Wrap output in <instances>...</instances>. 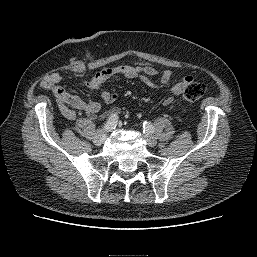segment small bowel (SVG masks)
Here are the masks:
<instances>
[{"mask_svg": "<svg viewBox=\"0 0 257 257\" xmlns=\"http://www.w3.org/2000/svg\"><path fill=\"white\" fill-rule=\"evenodd\" d=\"M159 74L155 68L147 65H140V66H133V65H119L112 68H106L100 72H98L91 80L86 83V86L90 89H98L101 87L103 83L107 80L111 79L115 76H123L128 79H138L142 81L147 86L152 88H163L167 86L170 82H172L174 75L171 71L166 70L161 73L160 84L157 86L155 85L150 77L156 76ZM51 80L55 84L51 89L52 92L59 103L60 110L63 116L69 120H73L76 116L73 109L78 111H82L89 115L90 117L95 116L101 106L100 103L97 101H85L77 95H73L65 90L63 87L57 85L63 81V77L60 74H53L50 76ZM191 76H186L177 83H175L171 91L173 94H180L182 93L184 86L187 82L191 81ZM102 100L107 103L111 104L115 102L117 99V94L112 91L105 90L101 93ZM173 102V97H167L164 100V105L168 106ZM73 109H71V108Z\"/></svg>", "mask_w": 257, "mask_h": 257, "instance_id": "small-bowel-1", "label": "small bowel"}]
</instances>
